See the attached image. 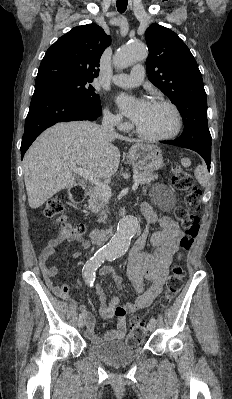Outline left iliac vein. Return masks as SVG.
<instances>
[{
    "mask_svg": "<svg viewBox=\"0 0 232 399\" xmlns=\"http://www.w3.org/2000/svg\"><path fill=\"white\" fill-rule=\"evenodd\" d=\"M148 328H149V331H151L152 332V329L153 328H155V322H154V324L153 325H148ZM153 333V332H152Z\"/></svg>",
    "mask_w": 232,
    "mask_h": 399,
    "instance_id": "obj_1",
    "label": "left iliac vein"
}]
</instances>
